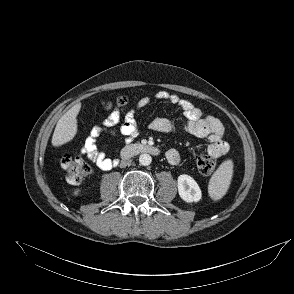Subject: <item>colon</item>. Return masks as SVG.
<instances>
[{"label":"colon","mask_w":294,"mask_h":294,"mask_svg":"<svg viewBox=\"0 0 294 294\" xmlns=\"http://www.w3.org/2000/svg\"><path fill=\"white\" fill-rule=\"evenodd\" d=\"M128 99L119 96L114 102L105 105L107 110L121 111L126 108ZM61 166L66 172V179L71 184L81 183L91 172L90 165L80 156L64 155L61 159ZM216 167V159L212 155L202 153L197 158V168L202 175H211Z\"/></svg>","instance_id":"5ec220e1"}]
</instances>
